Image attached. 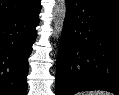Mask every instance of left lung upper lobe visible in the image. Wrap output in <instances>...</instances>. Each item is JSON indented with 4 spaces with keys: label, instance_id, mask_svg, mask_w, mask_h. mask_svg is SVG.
Returning <instances> with one entry per match:
<instances>
[{
    "label": "left lung upper lobe",
    "instance_id": "1",
    "mask_svg": "<svg viewBox=\"0 0 119 95\" xmlns=\"http://www.w3.org/2000/svg\"><path fill=\"white\" fill-rule=\"evenodd\" d=\"M101 4L119 8V0H93Z\"/></svg>",
    "mask_w": 119,
    "mask_h": 95
}]
</instances>
